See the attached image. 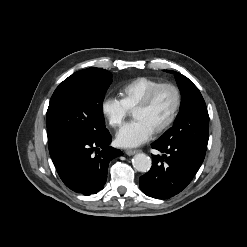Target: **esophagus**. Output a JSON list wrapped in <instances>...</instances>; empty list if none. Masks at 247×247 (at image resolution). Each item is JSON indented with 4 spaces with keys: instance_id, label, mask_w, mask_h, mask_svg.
Returning <instances> with one entry per match:
<instances>
[{
    "instance_id": "34e87169",
    "label": "esophagus",
    "mask_w": 247,
    "mask_h": 247,
    "mask_svg": "<svg viewBox=\"0 0 247 247\" xmlns=\"http://www.w3.org/2000/svg\"><path fill=\"white\" fill-rule=\"evenodd\" d=\"M125 152H126L127 155H134V154L140 152V150H138V149H127Z\"/></svg>"
}]
</instances>
